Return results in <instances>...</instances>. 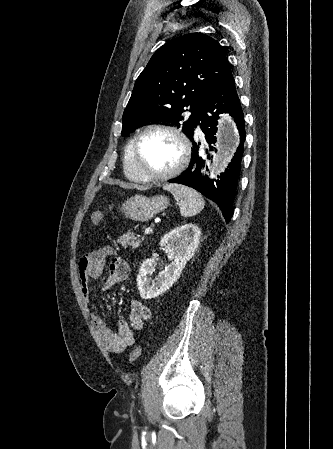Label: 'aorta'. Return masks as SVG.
Segmentation results:
<instances>
[{
    "instance_id": "obj_1",
    "label": "aorta",
    "mask_w": 333,
    "mask_h": 449,
    "mask_svg": "<svg viewBox=\"0 0 333 449\" xmlns=\"http://www.w3.org/2000/svg\"><path fill=\"white\" fill-rule=\"evenodd\" d=\"M238 141V134L233 124H228L220 130L218 135L220 161L226 158L227 154L231 153L236 147Z\"/></svg>"
}]
</instances>
